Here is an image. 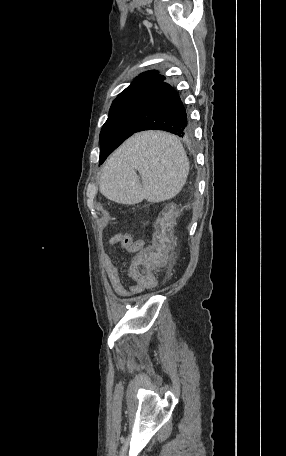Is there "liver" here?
<instances>
[{
    "instance_id": "1",
    "label": "liver",
    "mask_w": 286,
    "mask_h": 456,
    "mask_svg": "<svg viewBox=\"0 0 286 456\" xmlns=\"http://www.w3.org/2000/svg\"><path fill=\"white\" fill-rule=\"evenodd\" d=\"M188 173L189 161L176 136L144 131L127 139L110 156L102 169L99 190L120 204L135 205L144 199L157 203L179 194Z\"/></svg>"
}]
</instances>
